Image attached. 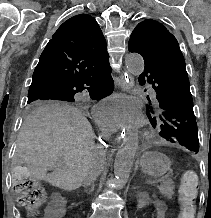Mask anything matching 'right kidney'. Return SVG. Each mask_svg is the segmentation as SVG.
I'll list each match as a JSON object with an SVG mask.
<instances>
[{"mask_svg":"<svg viewBox=\"0 0 211 218\" xmlns=\"http://www.w3.org/2000/svg\"><path fill=\"white\" fill-rule=\"evenodd\" d=\"M51 198H56V201H48L45 214L46 218H65L67 201L62 193H51Z\"/></svg>","mask_w":211,"mask_h":218,"instance_id":"ca27d5eb","label":"right kidney"}]
</instances>
